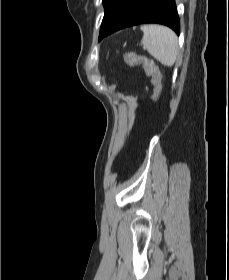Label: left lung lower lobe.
I'll use <instances>...</instances> for the list:
<instances>
[{
	"label": "left lung lower lobe",
	"instance_id": "left-lung-lower-lobe-1",
	"mask_svg": "<svg viewBox=\"0 0 229 280\" xmlns=\"http://www.w3.org/2000/svg\"><path fill=\"white\" fill-rule=\"evenodd\" d=\"M143 23H159L180 33V21L175 0H128L114 24L99 37V41L120 29Z\"/></svg>",
	"mask_w": 229,
	"mask_h": 280
}]
</instances>
